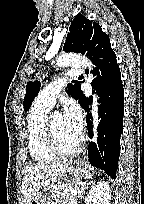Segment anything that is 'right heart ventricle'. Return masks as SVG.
<instances>
[{
  "label": "right heart ventricle",
  "mask_w": 144,
  "mask_h": 204,
  "mask_svg": "<svg viewBox=\"0 0 144 204\" xmlns=\"http://www.w3.org/2000/svg\"><path fill=\"white\" fill-rule=\"evenodd\" d=\"M49 110V107L35 101L27 120L30 156L34 161L42 164L54 162L58 158L50 150L46 139L45 126Z\"/></svg>",
  "instance_id": "obj_1"
}]
</instances>
